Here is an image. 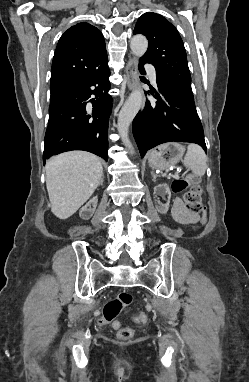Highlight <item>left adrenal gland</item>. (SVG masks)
Instances as JSON below:
<instances>
[{"mask_svg": "<svg viewBox=\"0 0 249 382\" xmlns=\"http://www.w3.org/2000/svg\"><path fill=\"white\" fill-rule=\"evenodd\" d=\"M151 175H152V177H153V181H155L156 178H157V175L154 173V171H151Z\"/></svg>", "mask_w": 249, "mask_h": 382, "instance_id": "a2214340", "label": "left adrenal gland"}]
</instances>
